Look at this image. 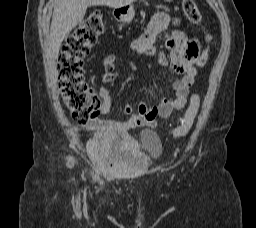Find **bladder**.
<instances>
[{"label": "bladder", "instance_id": "obj_1", "mask_svg": "<svg viewBox=\"0 0 256 228\" xmlns=\"http://www.w3.org/2000/svg\"><path fill=\"white\" fill-rule=\"evenodd\" d=\"M162 149L157 132L147 129L141 134V142L123 134L98 135L92 140L89 152L99 171L129 175L143 170L151 158L161 155Z\"/></svg>", "mask_w": 256, "mask_h": 228}]
</instances>
